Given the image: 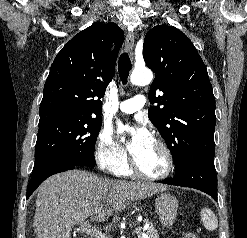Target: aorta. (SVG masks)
<instances>
[{"label":"aorta","mask_w":247,"mask_h":238,"mask_svg":"<svg viewBox=\"0 0 247 238\" xmlns=\"http://www.w3.org/2000/svg\"><path fill=\"white\" fill-rule=\"evenodd\" d=\"M153 79V74L148 69L134 70L130 77V81L132 84L137 86L147 85L151 83ZM118 125H121V122H117Z\"/></svg>","instance_id":"obj_1"}]
</instances>
